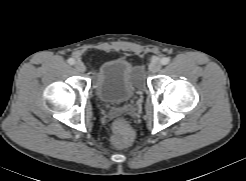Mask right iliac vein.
<instances>
[{
    "label": "right iliac vein",
    "instance_id": "63e3f726",
    "mask_svg": "<svg viewBox=\"0 0 246 181\" xmlns=\"http://www.w3.org/2000/svg\"><path fill=\"white\" fill-rule=\"evenodd\" d=\"M74 66L79 72H84L86 70L85 65L81 61H77Z\"/></svg>",
    "mask_w": 246,
    "mask_h": 181
}]
</instances>
